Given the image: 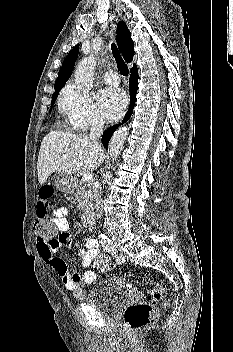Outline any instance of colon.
Wrapping results in <instances>:
<instances>
[{
    "label": "colon",
    "instance_id": "1",
    "mask_svg": "<svg viewBox=\"0 0 233 352\" xmlns=\"http://www.w3.org/2000/svg\"><path fill=\"white\" fill-rule=\"evenodd\" d=\"M34 233L37 235V239L45 242L54 240L58 236V232L54 225L48 219H38L34 224ZM91 263L95 268L102 271H109L112 267L109 258L105 255H96L92 257ZM79 280V276L75 277ZM166 287L164 285H155L149 290L151 302H139L129 305L123 313V320L125 327L131 332H137L151 322H153L158 315V304H162L163 307H168L170 301L164 299ZM76 299L82 300L86 297V291L83 286H78L73 291Z\"/></svg>",
    "mask_w": 233,
    "mask_h": 352
}]
</instances>
